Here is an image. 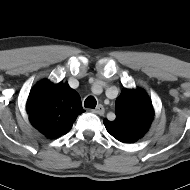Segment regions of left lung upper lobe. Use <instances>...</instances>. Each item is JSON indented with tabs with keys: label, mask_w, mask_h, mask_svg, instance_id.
I'll return each instance as SVG.
<instances>
[{
	"label": "left lung upper lobe",
	"mask_w": 190,
	"mask_h": 190,
	"mask_svg": "<svg viewBox=\"0 0 190 190\" xmlns=\"http://www.w3.org/2000/svg\"><path fill=\"white\" fill-rule=\"evenodd\" d=\"M116 119L103 123L110 135L123 143H132L144 136L154 118L148 95L141 89L124 88L116 99Z\"/></svg>",
	"instance_id": "1"
}]
</instances>
